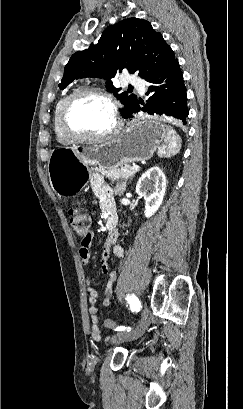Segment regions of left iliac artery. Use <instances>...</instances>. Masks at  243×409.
I'll return each instance as SVG.
<instances>
[{
	"label": "left iliac artery",
	"mask_w": 243,
	"mask_h": 409,
	"mask_svg": "<svg viewBox=\"0 0 243 409\" xmlns=\"http://www.w3.org/2000/svg\"><path fill=\"white\" fill-rule=\"evenodd\" d=\"M133 300V308L136 310V311H139L140 310V308H141V306H140V303H139V301L136 299V298H133V299H131V301ZM131 328L130 327H125V326H119V327H117V331H125V330H127V331H129Z\"/></svg>",
	"instance_id": "left-iliac-artery-1"
}]
</instances>
